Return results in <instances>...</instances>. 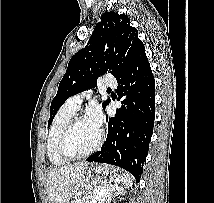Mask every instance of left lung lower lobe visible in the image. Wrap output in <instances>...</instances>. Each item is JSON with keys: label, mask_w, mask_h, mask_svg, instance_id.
Masks as SVG:
<instances>
[{"label": "left lung lower lobe", "mask_w": 214, "mask_h": 203, "mask_svg": "<svg viewBox=\"0 0 214 203\" xmlns=\"http://www.w3.org/2000/svg\"><path fill=\"white\" fill-rule=\"evenodd\" d=\"M122 107L108 118L107 138L100 151L87 158L119 166L140 181L149 150L155 118V80L145 49L138 52L129 68L117 78Z\"/></svg>", "instance_id": "obj_1"}]
</instances>
